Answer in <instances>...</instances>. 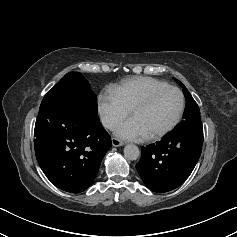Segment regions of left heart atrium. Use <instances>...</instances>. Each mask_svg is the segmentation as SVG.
I'll return each mask as SVG.
<instances>
[{"label":"left heart atrium","mask_w":237,"mask_h":237,"mask_svg":"<svg viewBox=\"0 0 237 237\" xmlns=\"http://www.w3.org/2000/svg\"><path fill=\"white\" fill-rule=\"evenodd\" d=\"M117 136L125 140L139 141L146 138L139 124L132 118L120 125L116 130Z\"/></svg>","instance_id":"39dd6f15"}]
</instances>
